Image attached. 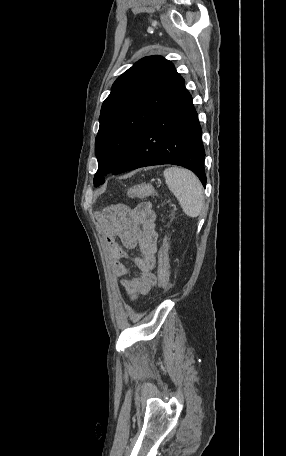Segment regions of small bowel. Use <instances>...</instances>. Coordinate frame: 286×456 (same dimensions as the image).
I'll return each mask as SVG.
<instances>
[{"label":"small bowel","instance_id":"small-bowel-1","mask_svg":"<svg viewBox=\"0 0 286 456\" xmlns=\"http://www.w3.org/2000/svg\"><path fill=\"white\" fill-rule=\"evenodd\" d=\"M97 220L104 231L110 270L122 277V288L131 299L148 293L156 282L153 269L157 252V216L152 205L147 202L133 208L116 205L98 214ZM122 246L126 249L138 248L140 256L133 259L138 276L129 277L130 271L123 263L128 255Z\"/></svg>","mask_w":286,"mask_h":456}]
</instances>
